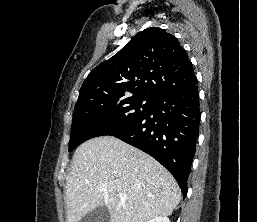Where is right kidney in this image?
I'll return each mask as SVG.
<instances>
[{
	"instance_id": "right-kidney-1",
	"label": "right kidney",
	"mask_w": 257,
	"mask_h": 222,
	"mask_svg": "<svg viewBox=\"0 0 257 222\" xmlns=\"http://www.w3.org/2000/svg\"><path fill=\"white\" fill-rule=\"evenodd\" d=\"M147 222H170V220L168 217L164 216V217H157V218L151 219Z\"/></svg>"
}]
</instances>
